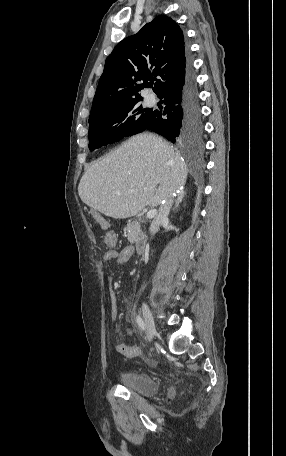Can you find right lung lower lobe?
<instances>
[{
	"instance_id": "1",
	"label": "right lung lower lobe",
	"mask_w": 286,
	"mask_h": 456,
	"mask_svg": "<svg viewBox=\"0 0 286 456\" xmlns=\"http://www.w3.org/2000/svg\"><path fill=\"white\" fill-rule=\"evenodd\" d=\"M157 96L164 99L166 106L163 112L154 111L148 130L161 134L173 143L196 135V132H188L187 126L200 124L202 132L197 85L191 65L183 78L167 86Z\"/></svg>"
}]
</instances>
